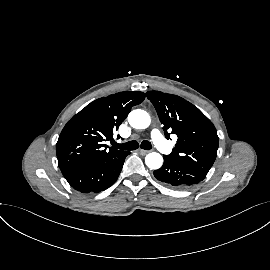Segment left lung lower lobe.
<instances>
[{
	"label": "left lung lower lobe",
	"instance_id": "0a47b994",
	"mask_svg": "<svg viewBox=\"0 0 270 270\" xmlns=\"http://www.w3.org/2000/svg\"><path fill=\"white\" fill-rule=\"evenodd\" d=\"M163 158V166L154 171V176L169 186L186 189L199 183L206 177V173L188 164L177 162L167 155H163Z\"/></svg>",
	"mask_w": 270,
	"mask_h": 270
}]
</instances>
